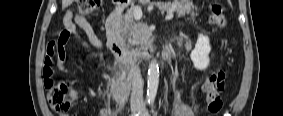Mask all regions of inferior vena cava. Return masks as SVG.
<instances>
[{"instance_id": "1", "label": "inferior vena cava", "mask_w": 283, "mask_h": 116, "mask_svg": "<svg viewBox=\"0 0 283 116\" xmlns=\"http://www.w3.org/2000/svg\"><path fill=\"white\" fill-rule=\"evenodd\" d=\"M130 79L132 81L131 103L141 104L143 102V80L138 64L131 67Z\"/></svg>"}]
</instances>
